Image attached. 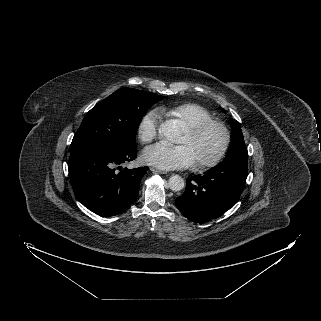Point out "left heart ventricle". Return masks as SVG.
I'll return each mask as SVG.
<instances>
[{
  "label": "left heart ventricle",
  "instance_id": "obj_1",
  "mask_svg": "<svg viewBox=\"0 0 321 321\" xmlns=\"http://www.w3.org/2000/svg\"><path fill=\"white\" fill-rule=\"evenodd\" d=\"M222 139L221 131L217 127H209L200 136L192 137L185 130L179 143L190 147L194 161L208 159L218 150Z\"/></svg>",
  "mask_w": 321,
  "mask_h": 321
}]
</instances>
